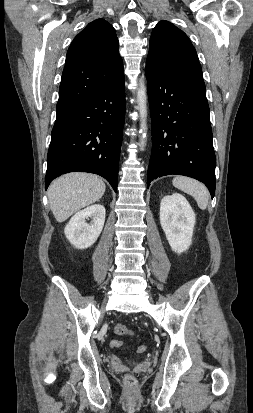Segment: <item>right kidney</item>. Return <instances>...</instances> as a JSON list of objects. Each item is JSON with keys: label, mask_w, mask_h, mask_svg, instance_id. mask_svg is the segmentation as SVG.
<instances>
[{"label": "right kidney", "mask_w": 253, "mask_h": 413, "mask_svg": "<svg viewBox=\"0 0 253 413\" xmlns=\"http://www.w3.org/2000/svg\"><path fill=\"white\" fill-rule=\"evenodd\" d=\"M91 218L90 224L86 219ZM105 222V208L95 204L77 212L64 229L69 242L77 249H86L92 246L102 232Z\"/></svg>", "instance_id": "obj_1"}]
</instances>
